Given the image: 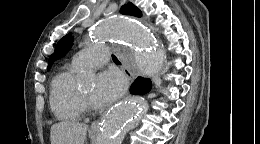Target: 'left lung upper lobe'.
Returning <instances> with one entry per match:
<instances>
[{
	"mask_svg": "<svg viewBox=\"0 0 260 144\" xmlns=\"http://www.w3.org/2000/svg\"><path fill=\"white\" fill-rule=\"evenodd\" d=\"M120 12L125 15H133L136 17H141V11L132 3L123 5L120 9ZM72 44V37L70 34L61 38L55 48L54 53L49 58L48 68L50 69L53 62L61 57H63L70 50Z\"/></svg>",
	"mask_w": 260,
	"mask_h": 144,
	"instance_id": "1",
	"label": "left lung upper lobe"
}]
</instances>
